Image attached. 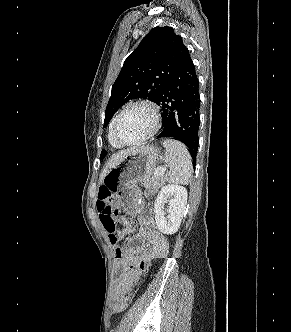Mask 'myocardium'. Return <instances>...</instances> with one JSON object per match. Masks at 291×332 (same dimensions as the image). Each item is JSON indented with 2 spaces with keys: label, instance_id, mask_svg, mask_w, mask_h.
Segmentation results:
<instances>
[{
  "label": "myocardium",
  "instance_id": "obj_1",
  "mask_svg": "<svg viewBox=\"0 0 291 332\" xmlns=\"http://www.w3.org/2000/svg\"><path fill=\"white\" fill-rule=\"evenodd\" d=\"M136 106H142L147 108L151 115H152V119H153V126L151 128V130L143 137L137 139V140H133V141H126L123 140L119 134H118V124L119 121L122 117V115L130 108L132 107H136ZM161 127V114H160V110L159 107L152 101L150 100H145V99H141V100H136L133 101L129 104H127L116 116L115 121H114V125H113V134L115 139L122 145H138L141 144L147 140H149L150 138H152L160 129Z\"/></svg>",
  "mask_w": 291,
  "mask_h": 332
}]
</instances>
